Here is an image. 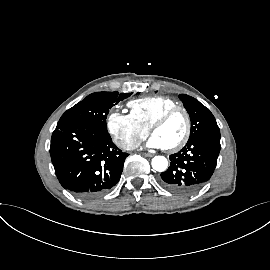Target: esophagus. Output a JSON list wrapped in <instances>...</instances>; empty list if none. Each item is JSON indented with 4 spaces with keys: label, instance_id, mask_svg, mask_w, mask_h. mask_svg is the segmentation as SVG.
<instances>
[{
    "label": "esophagus",
    "instance_id": "esophagus-1",
    "mask_svg": "<svg viewBox=\"0 0 270 270\" xmlns=\"http://www.w3.org/2000/svg\"><path fill=\"white\" fill-rule=\"evenodd\" d=\"M144 155H145L146 157H153V156H154V155L151 154V153H144Z\"/></svg>",
    "mask_w": 270,
    "mask_h": 270
}]
</instances>
